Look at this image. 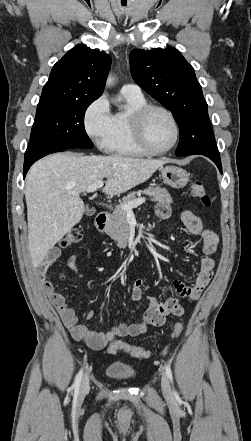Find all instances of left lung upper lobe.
I'll list each match as a JSON object with an SVG mask.
<instances>
[{
  "label": "left lung upper lobe",
  "instance_id": "left-lung-upper-lobe-1",
  "mask_svg": "<svg viewBox=\"0 0 251 441\" xmlns=\"http://www.w3.org/2000/svg\"><path fill=\"white\" fill-rule=\"evenodd\" d=\"M130 69L134 81L172 112L180 131L199 121H209L194 69L177 49H134Z\"/></svg>",
  "mask_w": 251,
  "mask_h": 441
}]
</instances>
